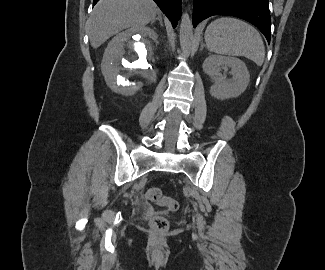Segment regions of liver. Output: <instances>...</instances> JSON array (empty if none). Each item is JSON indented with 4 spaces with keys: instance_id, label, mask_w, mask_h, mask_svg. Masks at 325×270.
Here are the masks:
<instances>
[{
    "instance_id": "1",
    "label": "liver",
    "mask_w": 325,
    "mask_h": 270,
    "mask_svg": "<svg viewBox=\"0 0 325 270\" xmlns=\"http://www.w3.org/2000/svg\"><path fill=\"white\" fill-rule=\"evenodd\" d=\"M158 8L152 0H100L89 19V38L96 49L120 31L142 28L155 19Z\"/></svg>"
}]
</instances>
